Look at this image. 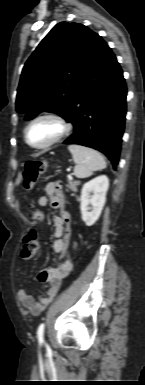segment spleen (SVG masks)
<instances>
[{"label":"spleen","mask_w":145,"mask_h":385,"mask_svg":"<svg viewBox=\"0 0 145 385\" xmlns=\"http://www.w3.org/2000/svg\"><path fill=\"white\" fill-rule=\"evenodd\" d=\"M68 150L71 152L76 164L74 175L78 178H87L94 171L106 168L104 157L92 148L72 144L68 146Z\"/></svg>","instance_id":"3e777b00"}]
</instances>
